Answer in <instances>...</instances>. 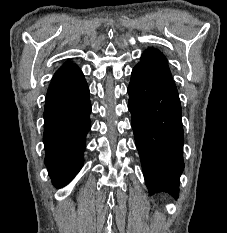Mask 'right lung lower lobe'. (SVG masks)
Here are the masks:
<instances>
[{"label":"right lung lower lobe","instance_id":"obj_1","mask_svg":"<svg viewBox=\"0 0 227 233\" xmlns=\"http://www.w3.org/2000/svg\"><path fill=\"white\" fill-rule=\"evenodd\" d=\"M90 113L85 79L45 103L44 162L57 188L69 183L83 166L86 135L91 128Z\"/></svg>","mask_w":227,"mask_h":233}]
</instances>
